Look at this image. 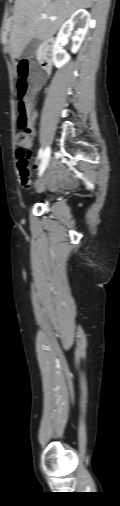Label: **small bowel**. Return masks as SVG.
Instances as JSON below:
<instances>
[{"mask_svg": "<svg viewBox=\"0 0 120 506\" xmlns=\"http://www.w3.org/2000/svg\"><path fill=\"white\" fill-rule=\"evenodd\" d=\"M32 79V87L30 90V99L34 100L41 89L44 87L46 83V77L44 75H40L38 78H35L34 76H31ZM32 120H35V114L31 113ZM34 169H39V164H34ZM20 182L22 187L24 188H30L34 183L31 180L30 176H22L20 177ZM76 184V181L74 177L70 175L69 172H67L64 168V166L58 162V161H52L49 167V172L44 180H40L37 183V187L39 190L44 189L46 186L50 188H57V189H70L74 187Z\"/></svg>", "mask_w": 120, "mask_h": 506, "instance_id": "small-bowel-1", "label": "small bowel"}]
</instances>
